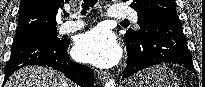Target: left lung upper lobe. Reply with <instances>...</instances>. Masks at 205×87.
Segmentation results:
<instances>
[{"label": "left lung upper lobe", "instance_id": "5c2ea615", "mask_svg": "<svg viewBox=\"0 0 205 87\" xmlns=\"http://www.w3.org/2000/svg\"><path fill=\"white\" fill-rule=\"evenodd\" d=\"M130 6L138 13L139 31L127 30L126 42H134L142 39L145 27L153 18L163 13H177L175 0H133Z\"/></svg>", "mask_w": 205, "mask_h": 87}]
</instances>
